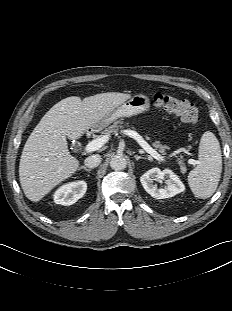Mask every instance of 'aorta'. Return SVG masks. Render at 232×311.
Masks as SVG:
<instances>
[{
  "label": "aorta",
  "instance_id": "obj_1",
  "mask_svg": "<svg viewBox=\"0 0 232 311\" xmlns=\"http://www.w3.org/2000/svg\"><path fill=\"white\" fill-rule=\"evenodd\" d=\"M127 166V160L123 155H115L110 161V167L113 170H123Z\"/></svg>",
  "mask_w": 232,
  "mask_h": 311
}]
</instances>
